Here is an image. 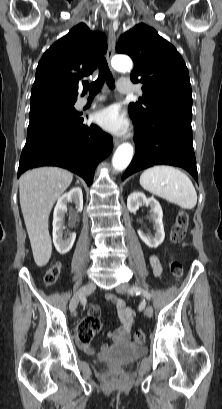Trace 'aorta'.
Returning <instances> with one entry per match:
<instances>
[{"label":"aorta","mask_w":222,"mask_h":409,"mask_svg":"<svg viewBox=\"0 0 222 409\" xmlns=\"http://www.w3.org/2000/svg\"><path fill=\"white\" fill-rule=\"evenodd\" d=\"M112 67L120 72H127L132 69V61L127 56H115L112 59ZM134 149L129 143L121 144L115 151L112 158V166L116 172L125 170L133 158Z\"/></svg>","instance_id":"obj_1"}]
</instances>
